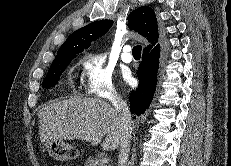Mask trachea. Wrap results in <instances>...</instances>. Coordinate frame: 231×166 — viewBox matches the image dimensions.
<instances>
[{
  "label": "trachea",
  "mask_w": 231,
  "mask_h": 166,
  "mask_svg": "<svg viewBox=\"0 0 231 166\" xmlns=\"http://www.w3.org/2000/svg\"><path fill=\"white\" fill-rule=\"evenodd\" d=\"M142 46L136 45L132 49V54L134 57L140 58L141 57Z\"/></svg>",
  "instance_id": "trachea-1"
}]
</instances>
